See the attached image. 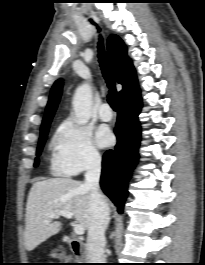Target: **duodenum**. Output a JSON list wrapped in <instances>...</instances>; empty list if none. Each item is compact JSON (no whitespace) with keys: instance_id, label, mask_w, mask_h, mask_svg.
Returning <instances> with one entry per match:
<instances>
[{"instance_id":"1","label":"duodenum","mask_w":205,"mask_h":265,"mask_svg":"<svg viewBox=\"0 0 205 265\" xmlns=\"http://www.w3.org/2000/svg\"><path fill=\"white\" fill-rule=\"evenodd\" d=\"M64 241L69 246L70 250L76 256L79 262H84L86 260V247L83 242L76 238L66 236Z\"/></svg>"}]
</instances>
